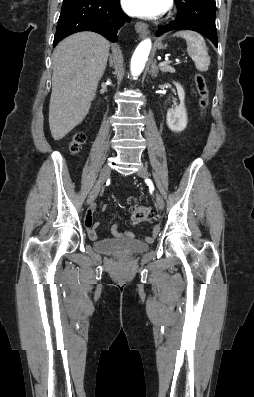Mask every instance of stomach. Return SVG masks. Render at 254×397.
<instances>
[{
    "instance_id": "stomach-1",
    "label": "stomach",
    "mask_w": 254,
    "mask_h": 397,
    "mask_svg": "<svg viewBox=\"0 0 254 397\" xmlns=\"http://www.w3.org/2000/svg\"><path fill=\"white\" fill-rule=\"evenodd\" d=\"M166 46H164L162 43H157V48L158 49H164Z\"/></svg>"
}]
</instances>
